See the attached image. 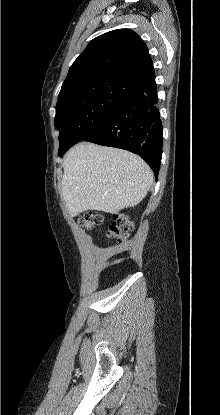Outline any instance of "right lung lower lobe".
Returning <instances> with one entry per match:
<instances>
[{"label":"right lung lower lobe","mask_w":220,"mask_h":415,"mask_svg":"<svg viewBox=\"0 0 220 415\" xmlns=\"http://www.w3.org/2000/svg\"><path fill=\"white\" fill-rule=\"evenodd\" d=\"M155 77L119 102L106 116L99 129L86 141L128 150L141 156L152 168L157 180L162 157V123ZM69 148L58 151L62 157Z\"/></svg>","instance_id":"98d812e1"}]
</instances>
